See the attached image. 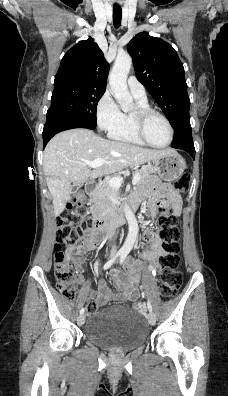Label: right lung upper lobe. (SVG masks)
Listing matches in <instances>:
<instances>
[{
	"mask_svg": "<svg viewBox=\"0 0 228 396\" xmlns=\"http://www.w3.org/2000/svg\"><path fill=\"white\" fill-rule=\"evenodd\" d=\"M109 64L92 38L80 41L66 52L54 86L78 85L106 90Z\"/></svg>",
	"mask_w": 228,
	"mask_h": 396,
	"instance_id": "right-lung-upper-lobe-1",
	"label": "right lung upper lobe"
}]
</instances>
